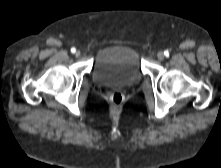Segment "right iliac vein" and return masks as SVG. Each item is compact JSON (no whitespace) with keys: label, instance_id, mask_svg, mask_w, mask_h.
<instances>
[{"label":"right iliac vein","instance_id":"right-iliac-vein-1","mask_svg":"<svg viewBox=\"0 0 221 168\" xmlns=\"http://www.w3.org/2000/svg\"><path fill=\"white\" fill-rule=\"evenodd\" d=\"M80 55H81V52L79 50L75 52L76 57H80Z\"/></svg>","mask_w":221,"mask_h":168}]
</instances>
